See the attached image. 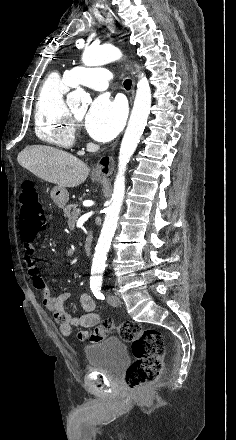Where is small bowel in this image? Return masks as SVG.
Here are the masks:
<instances>
[{
	"instance_id": "c3829d8e",
	"label": "small bowel",
	"mask_w": 236,
	"mask_h": 440,
	"mask_svg": "<svg viewBox=\"0 0 236 440\" xmlns=\"http://www.w3.org/2000/svg\"><path fill=\"white\" fill-rule=\"evenodd\" d=\"M23 256L28 267L29 276L34 287L41 292L43 305L53 313L55 321L59 325V330L63 336H77L81 341L87 339H98L103 342L106 339V331L110 328L109 322L99 324L100 315L96 310L94 300L86 293L81 294L80 304L85 314L73 316L65 309V305L70 298V293L63 292L57 296H52L51 292L42 278L40 269L35 259V248L32 241L23 239Z\"/></svg>"
}]
</instances>
